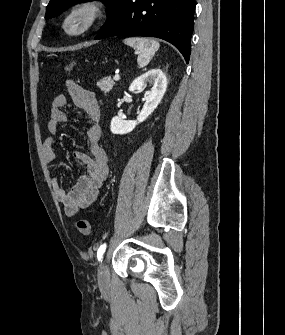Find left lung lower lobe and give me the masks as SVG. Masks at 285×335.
<instances>
[{
    "mask_svg": "<svg viewBox=\"0 0 285 335\" xmlns=\"http://www.w3.org/2000/svg\"><path fill=\"white\" fill-rule=\"evenodd\" d=\"M195 0H120L95 39L132 35L157 37L190 58Z\"/></svg>",
    "mask_w": 285,
    "mask_h": 335,
    "instance_id": "1",
    "label": "left lung lower lobe"
}]
</instances>
